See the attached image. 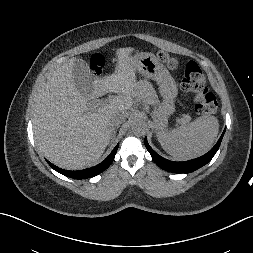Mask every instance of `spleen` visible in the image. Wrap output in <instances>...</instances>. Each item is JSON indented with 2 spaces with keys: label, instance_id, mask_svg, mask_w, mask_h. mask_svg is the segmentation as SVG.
Masks as SVG:
<instances>
[{
  "label": "spleen",
  "instance_id": "1",
  "mask_svg": "<svg viewBox=\"0 0 253 253\" xmlns=\"http://www.w3.org/2000/svg\"><path fill=\"white\" fill-rule=\"evenodd\" d=\"M219 132L216 117L204 115L191 123H182L171 131L157 132L162 148L176 160H189L205 154Z\"/></svg>",
  "mask_w": 253,
  "mask_h": 253
}]
</instances>
